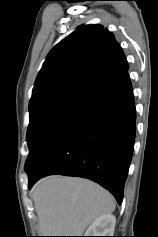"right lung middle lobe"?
Instances as JSON below:
<instances>
[{"mask_svg": "<svg viewBox=\"0 0 158 237\" xmlns=\"http://www.w3.org/2000/svg\"><path fill=\"white\" fill-rule=\"evenodd\" d=\"M83 102L74 97L60 96L29 106L30 122L27 131L29 156L25 169L41 142Z\"/></svg>", "mask_w": 158, "mask_h": 237, "instance_id": "dd1d6c3e", "label": "right lung middle lobe"}]
</instances>
